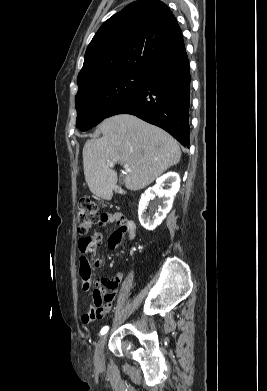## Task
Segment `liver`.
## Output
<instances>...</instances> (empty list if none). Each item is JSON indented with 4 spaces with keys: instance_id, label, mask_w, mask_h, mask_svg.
Masks as SVG:
<instances>
[{
    "instance_id": "6515ba94",
    "label": "liver",
    "mask_w": 267,
    "mask_h": 391,
    "mask_svg": "<svg viewBox=\"0 0 267 391\" xmlns=\"http://www.w3.org/2000/svg\"><path fill=\"white\" fill-rule=\"evenodd\" d=\"M98 130L103 136L88 140L83 148L85 180L98 198L111 199L117 183V173L108 161L129 165L124 183L133 191L147 187L180 161L177 141L136 116L119 114L106 118Z\"/></svg>"
}]
</instances>
